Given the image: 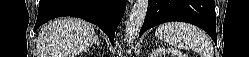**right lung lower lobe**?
<instances>
[{
  "label": "right lung lower lobe",
  "instance_id": "obj_1",
  "mask_svg": "<svg viewBox=\"0 0 249 57\" xmlns=\"http://www.w3.org/2000/svg\"><path fill=\"white\" fill-rule=\"evenodd\" d=\"M126 8V0H40L34 31L50 19L74 16L102 29L111 43Z\"/></svg>",
  "mask_w": 249,
  "mask_h": 57
}]
</instances>
